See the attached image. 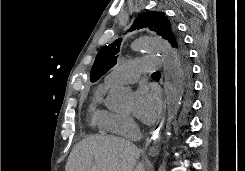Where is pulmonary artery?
<instances>
[{
    "mask_svg": "<svg viewBox=\"0 0 245 171\" xmlns=\"http://www.w3.org/2000/svg\"><path fill=\"white\" fill-rule=\"evenodd\" d=\"M162 58L150 55L124 62L114 67L105 77L104 83L115 85L135 81L139 74L153 72L160 68Z\"/></svg>",
    "mask_w": 245,
    "mask_h": 171,
    "instance_id": "e3ab8cb5",
    "label": "pulmonary artery"
}]
</instances>
